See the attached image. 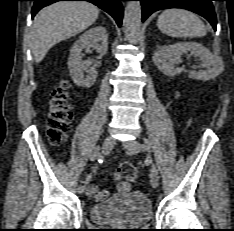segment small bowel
Listing matches in <instances>:
<instances>
[{
	"label": "small bowel",
	"mask_w": 234,
	"mask_h": 231,
	"mask_svg": "<svg viewBox=\"0 0 234 231\" xmlns=\"http://www.w3.org/2000/svg\"><path fill=\"white\" fill-rule=\"evenodd\" d=\"M131 190V184L127 181H121L117 184V191L120 193H127ZM88 195L95 201H102L107 197V192H100L98 187L94 184L88 186Z\"/></svg>",
	"instance_id": "obj_1"
}]
</instances>
